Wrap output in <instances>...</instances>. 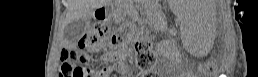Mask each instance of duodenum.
Here are the masks:
<instances>
[{
	"label": "duodenum",
	"instance_id": "410a0bca",
	"mask_svg": "<svg viewBox=\"0 0 258 77\" xmlns=\"http://www.w3.org/2000/svg\"><path fill=\"white\" fill-rule=\"evenodd\" d=\"M100 14H104V9H100Z\"/></svg>",
	"mask_w": 258,
	"mask_h": 77
}]
</instances>
